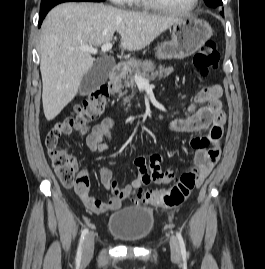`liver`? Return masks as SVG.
<instances>
[{
    "mask_svg": "<svg viewBox=\"0 0 265 269\" xmlns=\"http://www.w3.org/2000/svg\"><path fill=\"white\" fill-rule=\"evenodd\" d=\"M180 19L120 10L99 3H63L54 7L42 25L40 71L45 117L53 120L76 96L93 57L80 46L111 42L115 32L120 47L130 52L147 47Z\"/></svg>",
    "mask_w": 265,
    "mask_h": 269,
    "instance_id": "6515ba94",
    "label": "liver"
}]
</instances>
